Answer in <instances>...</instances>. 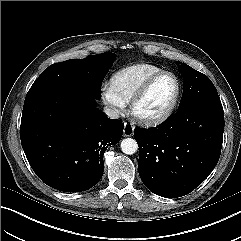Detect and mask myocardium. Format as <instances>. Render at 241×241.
<instances>
[{
  "mask_svg": "<svg viewBox=\"0 0 241 241\" xmlns=\"http://www.w3.org/2000/svg\"><path fill=\"white\" fill-rule=\"evenodd\" d=\"M163 76H171L174 78L176 82V92L171 103L167 106L165 110H163L161 113L157 115L144 116L139 114L137 111L138 105L145 98V96L147 95L151 87L154 85V83ZM181 89L182 86L179 77L171 71L162 70L152 75L143 83V85L138 89V91L135 93V95L130 101V114L132 118L136 122L145 126H155L165 122L168 118H170V116L173 114L178 105L181 96Z\"/></svg>",
  "mask_w": 241,
  "mask_h": 241,
  "instance_id": "1",
  "label": "myocardium"
}]
</instances>
